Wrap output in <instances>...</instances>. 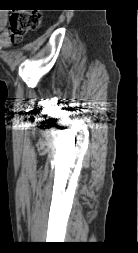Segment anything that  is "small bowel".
<instances>
[{"label":"small bowel","mask_w":138,"mask_h":253,"mask_svg":"<svg viewBox=\"0 0 138 253\" xmlns=\"http://www.w3.org/2000/svg\"><path fill=\"white\" fill-rule=\"evenodd\" d=\"M7 15L0 13V49L7 48L10 45V36L7 30Z\"/></svg>","instance_id":"obj_1"}]
</instances>
